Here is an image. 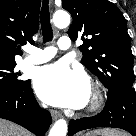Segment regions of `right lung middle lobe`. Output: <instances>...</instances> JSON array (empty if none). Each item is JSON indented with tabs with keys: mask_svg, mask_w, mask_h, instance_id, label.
Returning <instances> with one entry per match:
<instances>
[{
	"mask_svg": "<svg viewBox=\"0 0 136 136\" xmlns=\"http://www.w3.org/2000/svg\"><path fill=\"white\" fill-rule=\"evenodd\" d=\"M16 62L0 64V92L14 91L25 81L18 79L20 73L14 71Z\"/></svg>",
	"mask_w": 136,
	"mask_h": 136,
	"instance_id": "1",
	"label": "right lung middle lobe"
}]
</instances>
